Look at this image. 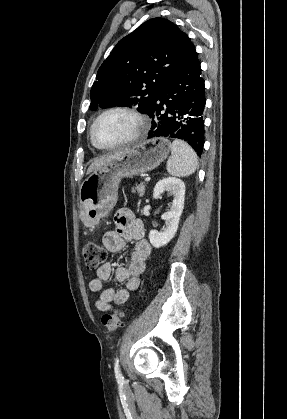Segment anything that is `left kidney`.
Returning <instances> with one entry per match:
<instances>
[{
  "mask_svg": "<svg viewBox=\"0 0 287 419\" xmlns=\"http://www.w3.org/2000/svg\"><path fill=\"white\" fill-rule=\"evenodd\" d=\"M164 192H169L173 195V202L170 210L161 216V218L166 222V228L161 232H158L157 230H151L149 232L150 243L155 248H160L168 244L177 232L180 217L184 208V182L175 177L163 178L156 184L153 197L155 199H161V195Z\"/></svg>",
  "mask_w": 287,
  "mask_h": 419,
  "instance_id": "obj_1",
  "label": "left kidney"
}]
</instances>
